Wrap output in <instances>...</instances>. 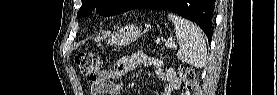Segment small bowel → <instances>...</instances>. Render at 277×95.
Instances as JSON below:
<instances>
[{"mask_svg": "<svg viewBox=\"0 0 277 95\" xmlns=\"http://www.w3.org/2000/svg\"><path fill=\"white\" fill-rule=\"evenodd\" d=\"M139 65L150 67L163 81H171L175 73L161 67L159 59L148 56L142 51L129 53L120 58L111 69L101 71L91 82V94L120 95L122 86L118 81ZM171 85L164 86L160 95H170Z\"/></svg>", "mask_w": 277, "mask_h": 95, "instance_id": "small-bowel-1", "label": "small bowel"}]
</instances>
